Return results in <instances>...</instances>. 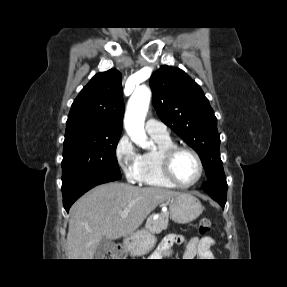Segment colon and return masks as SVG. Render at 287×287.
<instances>
[{"label": "colon", "mask_w": 287, "mask_h": 287, "mask_svg": "<svg viewBox=\"0 0 287 287\" xmlns=\"http://www.w3.org/2000/svg\"><path fill=\"white\" fill-rule=\"evenodd\" d=\"M211 220L209 218H201L199 221V233L201 235L207 234L211 229ZM123 251L120 248H117L113 253L112 256H121Z\"/></svg>", "instance_id": "colon-1"}]
</instances>
